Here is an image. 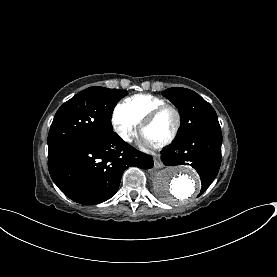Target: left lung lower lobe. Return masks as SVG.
I'll use <instances>...</instances> for the list:
<instances>
[{
  "instance_id": "1",
  "label": "left lung lower lobe",
  "mask_w": 277,
  "mask_h": 277,
  "mask_svg": "<svg viewBox=\"0 0 277 277\" xmlns=\"http://www.w3.org/2000/svg\"><path fill=\"white\" fill-rule=\"evenodd\" d=\"M221 130H207L178 138L161 152L165 165H191L200 175L201 195L213 182L221 164Z\"/></svg>"
}]
</instances>
